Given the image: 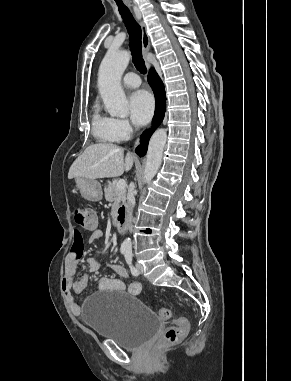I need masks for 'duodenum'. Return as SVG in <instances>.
<instances>
[{
    "mask_svg": "<svg viewBox=\"0 0 291 381\" xmlns=\"http://www.w3.org/2000/svg\"><path fill=\"white\" fill-rule=\"evenodd\" d=\"M116 228L118 232L123 233L128 227L127 206L122 205L116 214Z\"/></svg>",
    "mask_w": 291,
    "mask_h": 381,
    "instance_id": "duodenum-1",
    "label": "duodenum"
}]
</instances>
